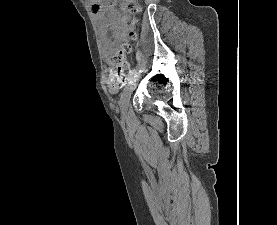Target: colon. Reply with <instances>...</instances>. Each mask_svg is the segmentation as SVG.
<instances>
[{
	"label": "colon",
	"instance_id": "1",
	"mask_svg": "<svg viewBox=\"0 0 277 225\" xmlns=\"http://www.w3.org/2000/svg\"><path fill=\"white\" fill-rule=\"evenodd\" d=\"M129 12L128 15H125L124 20L129 23H135V20L130 14L138 13L140 11L139 5L135 3H129L127 6ZM130 40H134L136 34L134 31L128 33ZM132 52V45L129 41L125 42L120 50H118L111 58V81L114 84H122L130 74V68L128 63V55Z\"/></svg>",
	"mask_w": 277,
	"mask_h": 225
}]
</instances>
